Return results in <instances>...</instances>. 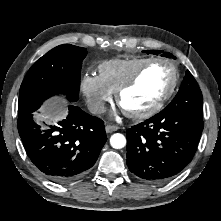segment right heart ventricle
<instances>
[{"label": "right heart ventricle", "instance_id": "e07e8e85", "mask_svg": "<svg viewBox=\"0 0 221 221\" xmlns=\"http://www.w3.org/2000/svg\"><path fill=\"white\" fill-rule=\"evenodd\" d=\"M148 59L149 58L144 57H133L106 60L98 67L99 77L111 92H116L118 87Z\"/></svg>", "mask_w": 221, "mask_h": 221}]
</instances>
